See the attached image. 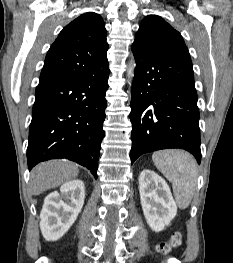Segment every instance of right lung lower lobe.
Segmentation results:
<instances>
[{"label":"right lung lower lobe","instance_id":"right-lung-lower-lobe-1","mask_svg":"<svg viewBox=\"0 0 233 263\" xmlns=\"http://www.w3.org/2000/svg\"><path fill=\"white\" fill-rule=\"evenodd\" d=\"M108 64L107 60L81 78L37 86L27 148L29 170L42 161L65 158L88 168L97 179Z\"/></svg>","mask_w":233,"mask_h":263}]
</instances>
